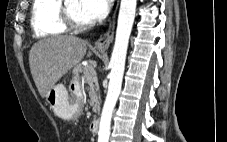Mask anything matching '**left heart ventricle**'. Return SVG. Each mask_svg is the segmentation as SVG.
<instances>
[{
    "label": "left heart ventricle",
    "mask_w": 227,
    "mask_h": 142,
    "mask_svg": "<svg viewBox=\"0 0 227 142\" xmlns=\"http://www.w3.org/2000/svg\"><path fill=\"white\" fill-rule=\"evenodd\" d=\"M70 14L80 22H88L81 14L79 0H69L66 4Z\"/></svg>",
    "instance_id": "left-heart-ventricle-1"
}]
</instances>
